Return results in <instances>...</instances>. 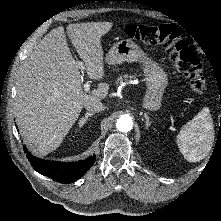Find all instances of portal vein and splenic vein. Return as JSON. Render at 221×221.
<instances>
[{"instance_id": "obj_1", "label": "portal vein and splenic vein", "mask_w": 221, "mask_h": 221, "mask_svg": "<svg viewBox=\"0 0 221 221\" xmlns=\"http://www.w3.org/2000/svg\"><path fill=\"white\" fill-rule=\"evenodd\" d=\"M78 64H79L80 69L82 71H84L85 67H84L83 63L82 62H78ZM83 87H84V91L85 92H89L90 91V83L89 82H86Z\"/></svg>"}]
</instances>
